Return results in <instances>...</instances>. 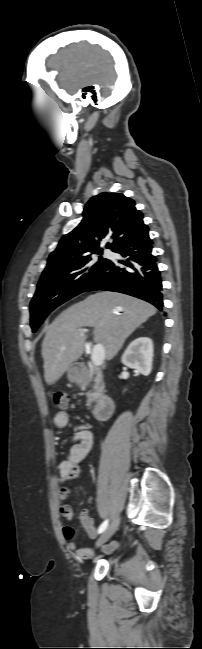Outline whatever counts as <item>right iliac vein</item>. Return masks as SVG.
Segmentation results:
<instances>
[{
	"label": "right iliac vein",
	"mask_w": 202,
	"mask_h": 649,
	"mask_svg": "<svg viewBox=\"0 0 202 649\" xmlns=\"http://www.w3.org/2000/svg\"><path fill=\"white\" fill-rule=\"evenodd\" d=\"M119 517H116L111 524L104 530L103 534L99 537V539L96 542V547L101 546L105 542H107L110 537L115 533V531L118 528L119 525Z\"/></svg>",
	"instance_id": "1"
}]
</instances>
